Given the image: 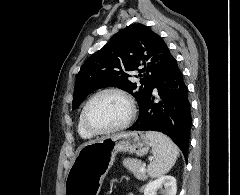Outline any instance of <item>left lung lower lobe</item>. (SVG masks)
I'll use <instances>...</instances> for the list:
<instances>
[{
  "label": "left lung lower lobe",
  "mask_w": 240,
  "mask_h": 195,
  "mask_svg": "<svg viewBox=\"0 0 240 195\" xmlns=\"http://www.w3.org/2000/svg\"><path fill=\"white\" fill-rule=\"evenodd\" d=\"M154 88L159 95L156 102L152 95ZM191 126L188 90L177 61L172 56L150 87L137 121L127 130L162 132L178 145L187 159Z\"/></svg>",
  "instance_id": "left-lung-lower-lobe-1"
}]
</instances>
